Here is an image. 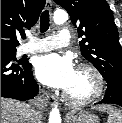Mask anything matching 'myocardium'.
I'll use <instances>...</instances> for the list:
<instances>
[{
  "mask_svg": "<svg viewBox=\"0 0 122 123\" xmlns=\"http://www.w3.org/2000/svg\"><path fill=\"white\" fill-rule=\"evenodd\" d=\"M77 70H88L90 71L96 79V88L92 94L84 98H74L67 92L64 93V99L67 103L73 106H84L90 104L100 98L105 90V78L102 72L94 65L90 63H81L77 66Z\"/></svg>",
  "mask_w": 122,
  "mask_h": 123,
  "instance_id": "1",
  "label": "myocardium"
}]
</instances>
